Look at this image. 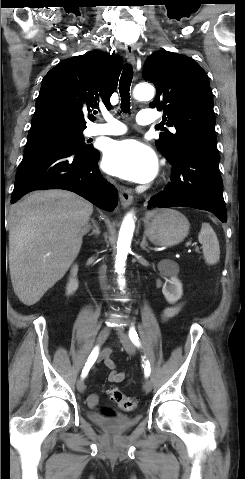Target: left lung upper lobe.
<instances>
[{
	"label": "left lung upper lobe",
	"instance_id": "obj_1",
	"mask_svg": "<svg viewBox=\"0 0 245 479\" xmlns=\"http://www.w3.org/2000/svg\"><path fill=\"white\" fill-rule=\"evenodd\" d=\"M143 77L157 89L151 108L163 111L162 122L176 132L160 133L157 148L174 161L197 146H215V115L209 80L203 68L185 55L161 50L149 56Z\"/></svg>",
	"mask_w": 245,
	"mask_h": 479
}]
</instances>
